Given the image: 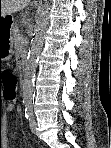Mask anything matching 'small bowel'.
Segmentation results:
<instances>
[{"label":"small bowel","mask_w":111,"mask_h":148,"mask_svg":"<svg viewBox=\"0 0 111 148\" xmlns=\"http://www.w3.org/2000/svg\"><path fill=\"white\" fill-rule=\"evenodd\" d=\"M13 110H14V104L8 105L7 111L11 112V111H13Z\"/></svg>","instance_id":"c3829d8e"}]
</instances>
